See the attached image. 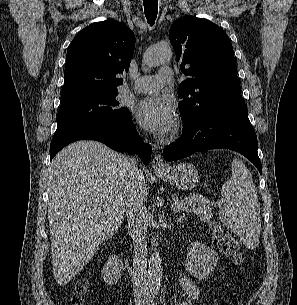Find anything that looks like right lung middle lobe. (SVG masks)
<instances>
[{
	"mask_svg": "<svg viewBox=\"0 0 297 305\" xmlns=\"http://www.w3.org/2000/svg\"><path fill=\"white\" fill-rule=\"evenodd\" d=\"M118 91L93 92L61 100L57 129L52 141H57L79 127L106 121H126L130 112L116 100Z\"/></svg>",
	"mask_w": 297,
	"mask_h": 305,
	"instance_id": "obj_1",
	"label": "right lung middle lobe"
}]
</instances>
